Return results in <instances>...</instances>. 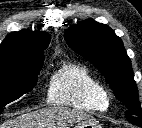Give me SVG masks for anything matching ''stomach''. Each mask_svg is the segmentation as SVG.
<instances>
[{"label":"stomach","mask_w":142,"mask_h":128,"mask_svg":"<svg viewBox=\"0 0 142 128\" xmlns=\"http://www.w3.org/2000/svg\"><path fill=\"white\" fill-rule=\"evenodd\" d=\"M74 128H101V125L93 118L80 121Z\"/></svg>","instance_id":"stomach-1"}]
</instances>
